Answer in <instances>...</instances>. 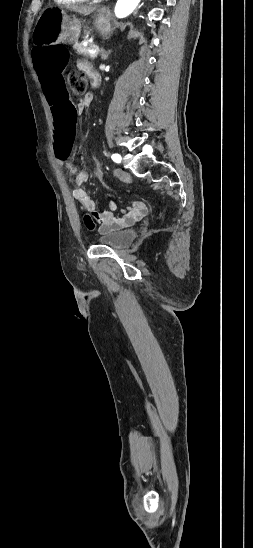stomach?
Wrapping results in <instances>:
<instances>
[{
    "label": "stomach",
    "instance_id": "1",
    "mask_svg": "<svg viewBox=\"0 0 253 548\" xmlns=\"http://www.w3.org/2000/svg\"><path fill=\"white\" fill-rule=\"evenodd\" d=\"M96 31L107 36L112 31L108 15L99 13L94 20ZM81 33V21L70 19L62 9L54 8L44 11L38 19L34 31V41L37 44H57L60 42L76 43Z\"/></svg>",
    "mask_w": 253,
    "mask_h": 548
}]
</instances>
